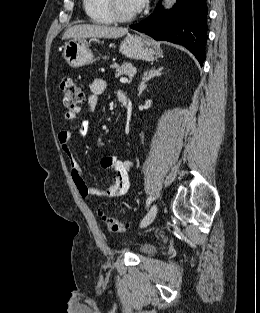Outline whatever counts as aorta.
Masks as SVG:
<instances>
[{"mask_svg": "<svg viewBox=\"0 0 260 313\" xmlns=\"http://www.w3.org/2000/svg\"><path fill=\"white\" fill-rule=\"evenodd\" d=\"M165 8H170L172 4L175 2V0H164Z\"/></svg>", "mask_w": 260, "mask_h": 313, "instance_id": "aorta-1", "label": "aorta"}]
</instances>
